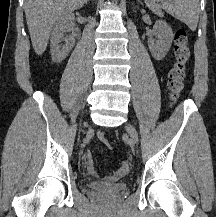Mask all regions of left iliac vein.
Returning a JSON list of instances; mask_svg holds the SVG:
<instances>
[{
  "instance_id": "obj_1",
  "label": "left iliac vein",
  "mask_w": 216,
  "mask_h": 217,
  "mask_svg": "<svg viewBox=\"0 0 216 217\" xmlns=\"http://www.w3.org/2000/svg\"><path fill=\"white\" fill-rule=\"evenodd\" d=\"M126 130H127V132L129 133V135L131 137L132 143L136 144L137 141H138V134H137L136 129L132 125L127 124Z\"/></svg>"
}]
</instances>
